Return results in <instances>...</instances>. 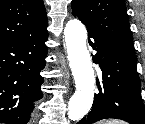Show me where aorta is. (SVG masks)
Here are the masks:
<instances>
[{
  "label": "aorta",
  "instance_id": "aorta-1",
  "mask_svg": "<svg viewBox=\"0 0 145 124\" xmlns=\"http://www.w3.org/2000/svg\"><path fill=\"white\" fill-rule=\"evenodd\" d=\"M64 36L69 66L75 80V92L68 103V118L79 121L90 110L95 91V76L89 51L86 47L87 31L78 20L66 23Z\"/></svg>",
  "mask_w": 145,
  "mask_h": 124
}]
</instances>
